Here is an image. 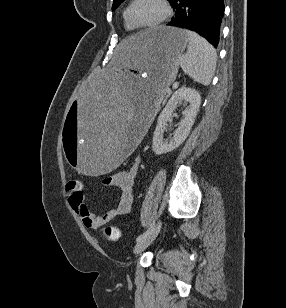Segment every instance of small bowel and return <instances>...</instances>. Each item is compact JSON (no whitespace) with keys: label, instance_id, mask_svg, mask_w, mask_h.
Returning <instances> with one entry per match:
<instances>
[{"label":"small bowel","instance_id":"small-bowel-1","mask_svg":"<svg viewBox=\"0 0 286 308\" xmlns=\"http://www.w3.org/2000/svg\"><path fill=\"white\" fill-rule=\"evenodd\" d=\"M139 168L140 159L137 158L128 169L117 172L105 179L104 184L106 186L119 189L120 197L112 209L101 215L93 214L87 207L82 184L79 191H68V202L86 228L98 229L131 210L133 201L132 192Z\"/></svg>","mask_w":286,"mask_h":308}]
</instances>
